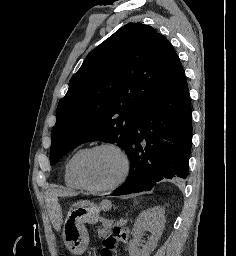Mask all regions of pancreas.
I'll return each mask as SVG.
<instances>
[{
  "mask_svg": "<svg viewBox=\"0 0 236 256\" xmlns=\"http://www.w3.org/2000/svg\"><path fill=\"white\" fill-rule=\"evenodd\" d=\"M97 235H98V236H105V235H106V232H105V231H102V230H98Z\"/></svg>",
  "mask_w": 236,
  "mask_h": 256,
  "instance_id": "cf45deb5",
  "label": "pancreas"
}]
</instances>
